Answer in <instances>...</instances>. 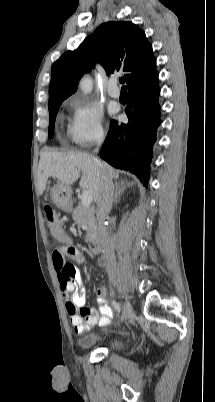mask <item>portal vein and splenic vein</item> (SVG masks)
Here are the masks:
<instances>
[{
	"label": "portal vein and splenic vein",
	"mask_w": 215,
	"mask_h": 402,
	"mask_svg": "<svg viewBox=\"0 0 215 402\" xmlns=\"http://www.w3.org/2000/svg\"><path fill=\"white\" fill-rule=\"evenodd\" d=\"M92 203V195L88 190H83L81 197V204L85 208H89Z\"/></svg>",
	"instance_id": "18ae733b"
}]
</instances>
